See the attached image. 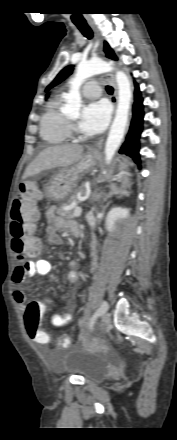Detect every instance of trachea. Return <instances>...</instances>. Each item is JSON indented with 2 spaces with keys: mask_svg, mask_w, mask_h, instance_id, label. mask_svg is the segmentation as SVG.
Here are the masks:
<instances>
[{
  "mask_svg": "<svg viewBox=\"0 0 177 440\" xmlns=\"http://www.w3.org/2000/svg\"><path fill=\"white\" fill-rule=\"evenodd\" d=\"M75 25L77 26V28L81 31V33L86 38L91 39L93 37V32L86 22L85 23H75ZM106 90L110 94L113 93V88L111 86H107Z\"/></svg>",
  "mask_w": 177,
  "mask_h": 440,
  "instance_id": "3493384b",
  "label": "trachea"
}]
</instances>
